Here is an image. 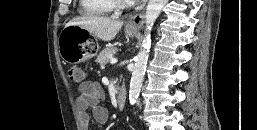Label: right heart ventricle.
<instances>
[{
    "instance_id": "obj_1",
    "label": "right heart ventricle",
    "mask_w": 257,
    "mask_h": 130,
    "mask_svg": "<svg viewBox=\"0 0 257 130\" xmlns=\"http://www.w3.org/2000/svg\"><path fill=\"white\" fill-rule=\"evenodd\" d=\"M79 3L80 12L86 15L103 16L114 9L109 0H80Z\"/></svg>"
}]
</instances>
